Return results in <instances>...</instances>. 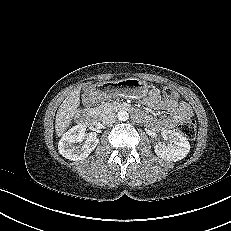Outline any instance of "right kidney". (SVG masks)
Returning a JSON list of instances; mask_svg holds the SVG:
<instances>
[{"instance_id":"ca27d5eb","label":"right kidney","mask_w":231,"mask_h":231,"mask_svg":"<svg viewBox=\"0 0 231 231\" xmlns=\"http://www.w3.org/2000/svg\"><path fill=\"white\" fill-rule=\"evenodd\" d=\"M86 128V123H79L63 134L58 144L59 153L63 157L72 161L83 160L95 149L99 139L92 134L86 135ZM83 139V145H76Z\"/></svg>"}]
</instances>
